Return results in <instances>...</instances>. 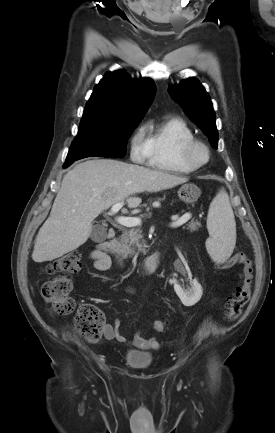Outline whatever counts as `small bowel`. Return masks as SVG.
Instances as JSON below:
<instances>
[{
    "mask_svg": "<svg viewBox=\"0 0 275 433\" xmlns=\"http://www.w3.org/2000/svg\"><path fill=\"white\" fill-rule=\"evenodd\" d=\"M90 258L93 260L95 269L99 271L107 270L111 265L109 256L104 255L98 249L90 252ZM120 322L117 320L114 325L106 323L103 325L104 336L108 340H116L120 343L131 344L132 346L143 350H156L160 347L159 342L153 337H145L141 333H137L132 341L122 335L119 331Z\"/></svg>",
    "mask_w": 275,
    "mask_h": 433,
    "instance_id": "small-bowel-1",
    "label": "small bowel"
}]
</instances>
